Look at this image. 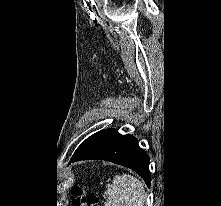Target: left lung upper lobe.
Segmentation results:
<instances>
[{"label":"left lung upper lobe","mask_w":221,"mask_h":206,"mask_svg":"<svg viewBox=\"0 0 221 206\" xmlns=\"http://www.w3.org/2000/svg\"><path fill=\"white\" fill-rule=\"evenodd\" d=\"M97 132L93 135H91L90 137H88L79 147L78 149L75 151L74 155L78 154L79 152H81L84 148H86L91 142H93L101 133Z\"/></svg>","instance_id":"1"}]
</instances>
